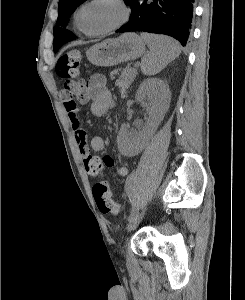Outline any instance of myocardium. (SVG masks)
Returning <instances> with one entry per match:
<instances>
[{
  "label": "myocardium",
  "mask_w": 245,
  "mask_h": 300,
  "mask_svg": "<svg viewBox=\"0 0 245 300\" xmlns=\"http://www.w3.org/2000/svg\"><path fill=\"white\" fill-rule=\"evenodd\" d=\"M99 1H104V0H87L85 1L80 8L77 11L76 14V25L78 26V28L83 31L85 34L89 35V36H102V35H106L109 34L117 29H119L120 27H122L130 18L131 16V10L129 8V6L127 5V3L125 2V0H105V1H109L112 2L114 4H116L120 10H121V17L120 19L112 26L103 29V30H99V31H88L82 24V14L84 12V10Z\"/></svg>",
  "instance_id": "1"
}]
</instances>
